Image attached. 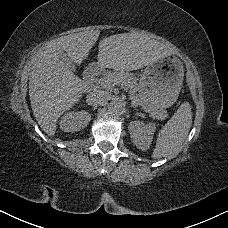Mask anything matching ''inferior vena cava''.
<instances>
[{
	"label": "inferior vena cava",
	"mask_w": 228,
	"mask_h": 228,
	"mask_svg": "<svg viewBox=\"0 0 228 228\" xmlns=\"http://www.w3.org/2000/svg\"><path fill=\"white\" fill-rule=\"evenodd\" d=\"M109 98L110 95L108 92L104 90H94L87 95L86 103L90 106L98 107L107 102Z\"/></svg>",
	"instance_id": "1"
}]
</instances>
